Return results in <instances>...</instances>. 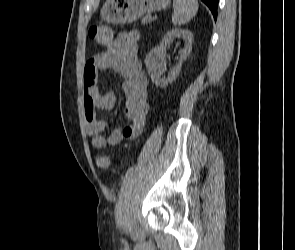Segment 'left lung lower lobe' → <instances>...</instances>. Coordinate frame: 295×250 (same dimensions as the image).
I'll return each instance as SVG.
<instances>
[{"label":"left lung lower lobe","mask_w":295,"mask_h":250,"mask_svg":"<svg viewBox=\"0 0 295 250\" xmlns=\"http://www.w3.org/2000/svg\"><path fill=\"white\" fill-rule=\"evenodd\" d=\"M202 2H204L209 9L211 10L214 19L216 20L217 18V7H218V0H201Z\"/></svg>","instance_id":"1"}]
</instances>
